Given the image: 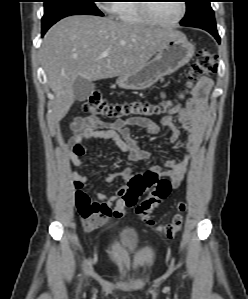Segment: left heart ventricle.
<instances>
[{"instance_id": "obj_1", "label": "left heart ventricle", "mask_w": 248, "mask_h": 299, "mask_svg": "<svg viewBox=\"0 0 248 299\" xmlns=\"http://www.w3.org/2000/svg\"><path fill=\"white\" fill-rule=\"evenodd\" d=\"M180 6L179 0L156 2L153 3L152 12L162 21H173L180 14Z\"/></svg>"}]
</instances>
